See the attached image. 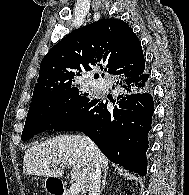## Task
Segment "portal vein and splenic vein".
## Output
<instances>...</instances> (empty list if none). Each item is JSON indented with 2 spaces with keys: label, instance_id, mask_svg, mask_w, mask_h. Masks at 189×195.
<instances>
[{
  "label": "portal vein and splenic vein",
  "instance_id": "obj_1",
  "mask_svg": "<svg viewBox=\"0 0 189 195\" xmlns=\"http://www.w3.org/2000/svg\"><path fill=\"white\" fill-rule=\"evenodd\" d=\"M60 167L63 169L64 165H60ZM81 191L80 185L78 183H72L70 186V195H78Z\"/></svg>",
  "mask_w": 189,
  "mask_h": 195
}]
</instances>
